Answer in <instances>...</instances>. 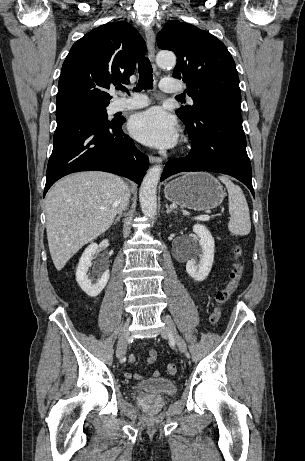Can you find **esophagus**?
<instances>
[{"label":"esophagus","mask_w":305,"mask_h":461,"mask_svg":"<svg viewBox=\"0 0 305 461\" xmlns=\"http://www.w3.org/2000/svg\"><path fill=\"white\" fill-rule=\"evenodd\" d=\"M147 46H148V55L150 60L153 62V67L156 68L154 64L155 60V34L151 27H148L145 31ZM150 163H161L162 158L158 156H150L149 157Z\"/></svg>","instance_id":"34e87169"}]
</instances>
